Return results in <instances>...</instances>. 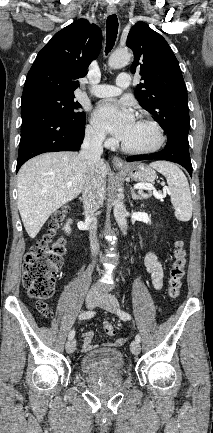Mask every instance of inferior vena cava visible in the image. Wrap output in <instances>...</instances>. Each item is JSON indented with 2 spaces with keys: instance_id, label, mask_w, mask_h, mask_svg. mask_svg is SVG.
<instances>
[{
  "instance_id": "inferior-vena-cava-1",
  "label": "inferior vena cava",
  "mask_w": 213,
  "mask_h": 433,
  "mask_svg": "<svg viewBox=\"0 0 213 433\" xmlns=\"http://www.w3.org/2000/svg\"><path fill=\"white\" fill-rule=\"evenodd\" d=\"M103 141V134L87 131L79 154L80 157L87 162V177L83 188L82 199L86 224L90 232V247L93 256L97 255L99 252V243L96 237L97 219L94 214L102 204L106 194V182L99 173V165L103 153ZM92 290L97 292L100 288L93 287Z\"/></svg>"
}]
</instances>
